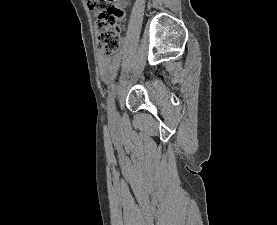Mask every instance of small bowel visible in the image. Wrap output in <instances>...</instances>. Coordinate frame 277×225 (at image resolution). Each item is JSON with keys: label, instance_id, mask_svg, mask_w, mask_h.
<instances>
[{"label": "small bowel", "instance_id": "1", "mask_svg": "<svg viewBox=\"0 0 277 225\" xmlns=\"http://www.w3.org/2000/svg\"><path fill=\"white\" fill-rule=\"evenodd\" d=\"M122 61V54L118 53L113 56L100 54L98 57V70L101 79L104 82L111 81L117 73Z\"/></svg>", "mask_w": 277, "mask_h": 225}]
</instances>
